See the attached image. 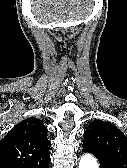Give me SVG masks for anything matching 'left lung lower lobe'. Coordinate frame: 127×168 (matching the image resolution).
Returning <instances> with one entry per match:
<instances>
[{"instance_id": "obj_1", "label": "left lung lower lobe", "mask_w": 127, "mask_h": 168, "mask_svg": "<svg viewBox=\"0 0 127 168\" xmlns=\"http://www.w3.org/2000/svg\"><path fill=\"white\" fill-rule=\"evenodd\" d=\"M83 152H90V153L94 154L100 162V168H115L101 154H99L93 150H88V149H84V148H83Z\"/></svg>"}]
</instances>
